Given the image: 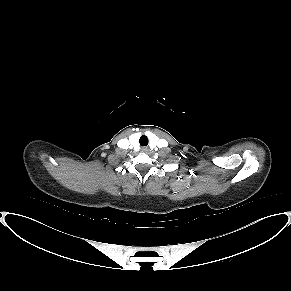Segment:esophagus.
<instances>
[{
  "label": "esophagus",
  "mask_w": 291,
  "mask_h": 291,
  "mask_svg": "<svg viewBox=\"0 0 291 291\" xmlns=\"http://www.w3.org/2000/svg\"><path fill=\"white\" fill-rule=\"evenodd\" d=\"M141 150H142V152H148L149 148L148 147H143Z\"/></svg>",
  "instance_id": "1"
}]
</instances>
